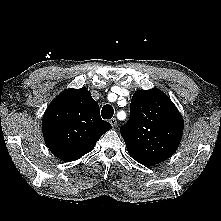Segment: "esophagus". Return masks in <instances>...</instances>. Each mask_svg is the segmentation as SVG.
Returning <instances> with one entry per match:
<instances>
[{"label":"esophagus","mask_w":221,"mask_h":221,"mask_svg":"<svg viewBox=\"0 0 221 221\" xmlns=\"http://www.w3.org/2000/svg\"><path fill=\"white\" fill-rule=\"evenodd\" d=\"M110 124L113 126V127H115L116 125H117V120H116V118H112V119H110Z\"/></svg>","instance_id":"1"}]
</instances>
